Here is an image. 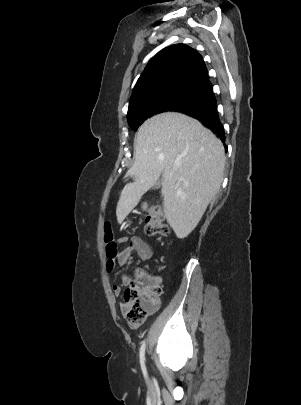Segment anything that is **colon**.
<instances>
[{
    "label": "colon",
    "mask_w": 301,
    "mask_h": 405,
    "mask_svg": "<svg viewBox=\"0 0 301 405\" xmlns=\"http://www.w3.org/2000/svg\"><path fill=\"white\" fill-rule=\"evenodd\" d=\"M145 232L149 236H167L169 233L164 213L156 207H146ZM104 242L108 258L118 252L110 222L103 225ZM162 294L161 283L156 277L137 272L136 278L128 285L121 302L122 313L132 328L140 327L146 318L158 308Z\"/></svg>",
    "instance_id": "1"
}]
</instances>
